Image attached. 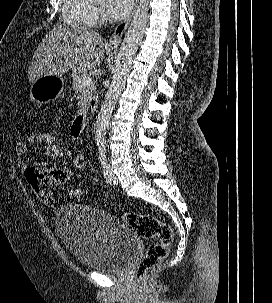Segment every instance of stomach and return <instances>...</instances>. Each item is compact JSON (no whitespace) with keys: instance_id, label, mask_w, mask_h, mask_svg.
I'll use <instances>...</instances> for the list:
<instances>
[{"instance_id":"1","label":"stomach","mask_w":272,"mask_h":303,"mask_svg":"<svg viewBox=\"0 0 272 303\" xmlns=\"http://www.w3.org/2000/svg\"><path fill=\"white\" fill-rule=\"evenodd\" d=\"M63 78L44 76L32 83L29 101L36 105H43L54 101L63 90Z\"/></svg>"}]
</instances>
